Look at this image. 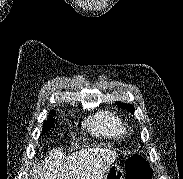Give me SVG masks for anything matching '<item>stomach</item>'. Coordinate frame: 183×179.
<instances>
[{"label": "stomach", "mask_w": 183, "mask_h": 179, "mask_svg": "<svg viewBox=\"0 0 183 179\" xmlns=\"http://www.w3.org/2000/svg\"><path fill=\"white\" fill-rule=\"evenodd\" d=\"M102 179H125L123 169L117 164H112Z\"/></svg>", "instance_id": "0dacf381"}]
</instances>
